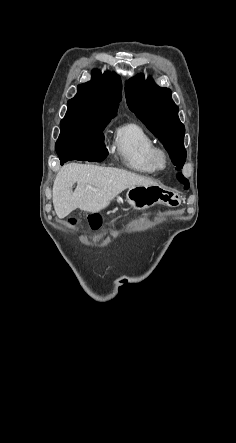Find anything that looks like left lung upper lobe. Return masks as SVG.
<instances>
[{
  "instance_id": "obj_1",
  "label": "left lung upper lobe",
  "mask_w": 236,
  "mask_h": 443,
  "mask_svg": "<svg viewBox=\"0 0 236 443\" xmlns=\"http://www.w3.org/2000/svg\"><path fill=\"white\" fill-rule=\"evenodd\" d=\"M125 96L128 107L159 138L177 169L186 160L184 148L185 127L178 117V107L171 98V91L156 85L142 74L129 79Z\"/></svg>"
}]
</instances>
